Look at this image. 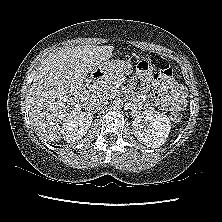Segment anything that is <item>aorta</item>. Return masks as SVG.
I'll return each instance as SVG.
<instances>
[{
    "mask_svg": "<svg viewBox=\"0 0 222 222\" xmlns=\"http://www.w3.org/2000/svg\"><path fill=\"white\" fill-rule=\"evenodd\" d=\"M123 100H121L120 98H116L114 101H113V107L115 109H121L123 107Z\"/></svg>",
    "mask_w": 222,
    "mask_h": 222,
    "instance_id": "1",
    "label": "aorta"
}]
</instances>
